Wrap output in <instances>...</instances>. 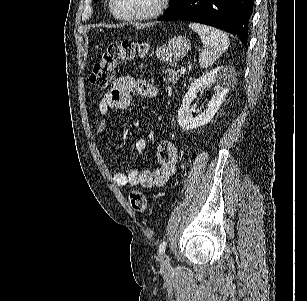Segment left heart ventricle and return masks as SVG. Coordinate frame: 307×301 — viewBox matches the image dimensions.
Instances as JSON below:
<instances>
[{
    "instance_id": "1",
    "label": "left heart ventricle",
    "mask_w": 307,
    "mask_h": 301,
    "mask_svg": "<svg viewBox=\"0 0 307 301\" xmlns=\"http://www.w3.org/2000/svg\"><path fill=\"white\" fill-rule=\"evenodd\" d=\"M158 0H117L115 13L122 11H133V13H142V11H154Z\"/></svg>"
}]
</instances>
